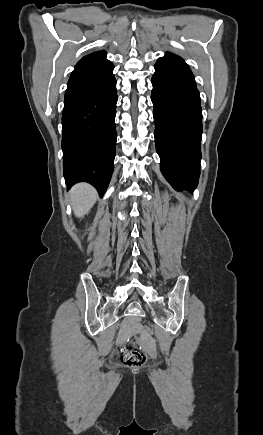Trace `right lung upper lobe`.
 Segmentation results:
<instances>
[{"mask_svg": "<svg viewBox=\"0 0 263 435\" xmlns=\"http://www.w3.org/2000/svg\"><path fill=\"white\" fill-rule=\"evenodd\" d=\"M110 61L106 59L105 51H98L84 56L75 66L72 74L103 66Z\"/></svg>", "mask_w": 263, "mask_h": 435, "instance_id": "1", "label": "right lung upper lobe"}]
</instances>
